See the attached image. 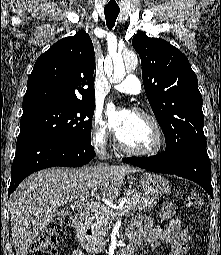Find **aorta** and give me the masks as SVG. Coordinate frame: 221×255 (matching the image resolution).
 I'll return each mask as SVG.
<instances>
[{
    "instance_id": "aorta-1",
    "label": "aorta",
    "mask_w": 221,
    "mask_h": 255,
    "mask_svg": "<svg viewBox=\"0 0 221 255\" xmlns=\"http://www.w3.org/2000/svg\"><path fill=\"white\" fill-rule=\"evenodd\" d=\"M137 64L138 58L135 53L117 54L113 57V66L106 65L105 72L111 82L118 83L124 79L126 71L134 70Z\"/></svg>"
}]
</instances>
